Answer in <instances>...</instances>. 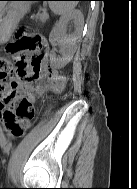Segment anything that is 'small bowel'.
I'll use <instances>...</instances> for the list:
<instances>
[{
    "label": "small bowel",
    "instance_id": "c3829d8e",
    "mask_svg": "<svg viewBox=\"0 0 137 189\" xmlns=\"http://www.w3.org/2000/svg\"><path fill=\"white\" fill-rule=\"evenodd\" d=\"M46 67V65H42L43 70ZM52 69V76L45 78L42 75L40 79L44 80L37 85L26 81L19 74L6 87L4 95L0 96V120L10 137H20L30 127L33 119L32 114L24 118L16 116L17 107L22 100L26 99L34 105L36 100L47 90H59L65 85V78L55 68Z\"/></svg>",
    "mask_w": 137,
    "mask_h": 189
}]
</instances>
